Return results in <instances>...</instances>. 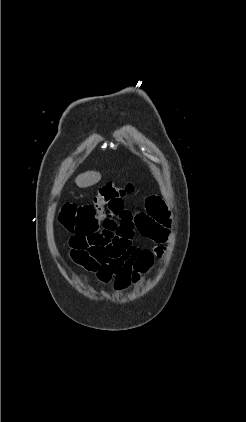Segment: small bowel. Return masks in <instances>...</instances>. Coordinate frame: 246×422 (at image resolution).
<instances>
[{
  "label": "small bowel",
  "instance_id": "small-bowel-1",
  "mask_svg": "<svg viewBox=\"0 0 246 422\" xmlns=\"http://www.w3.org/2000/svg\"><path fill=\"white\" fill-rule=\"evenodd\" d=\"M169 214L157 196L146 201V211L133 214L122 204L119 210L110 208L100 226L91 234L71 237V260L96 275L97 281L110 285L115 291L126 289L133 280L134 261L141 250L135 245V231L156 243L168 236ZM162 252V247H158ZM80 278L92 280L81 273Z\"/></svg>",
  "mask_w": 246,
  "mask_h": 422
}]
</instances>
